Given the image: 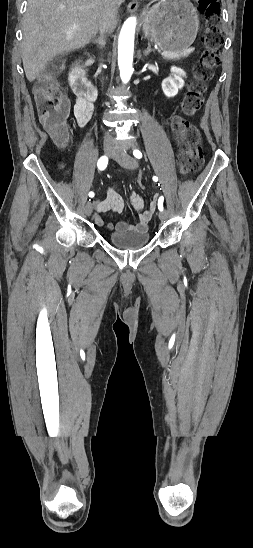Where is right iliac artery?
Wrapping results in <instances>:
<instances>
[{"label":"right iliac artery","mask_w":253,"mask_h":548,"mask_svg":"<svg viewBox=\"0 0 253 548\" xmlns=\"http://www.w3.org/2000/svg\"><path fill=\"white\" fill-rule=\"evenodd\" d=\"M107 164L108 158L106 156H102L97 162V166L100 170H104L107 167ZM89 197H94V192H89Z\"/></svg>","instance_id":"obj_1"}]
</instances>
